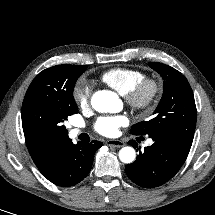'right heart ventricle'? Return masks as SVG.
Listing matches in <instances>:
<instances>
[{"label":"right heart ventricle","instance_id":"1","mask_svg":"<svg viewBox=\"0 0 215 215\" xmlns=\"http://www.w3.org/2000/svg\"><path fill=\"white\" fill-rule=\"evenodd\" d=\"M145 77L144 72L138 69L116 67L103 72L100 79L103 83L125 95L137 82Z\"/></svg>","mask_w":215,"mask_h":215}]
</instances>
